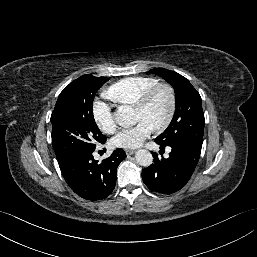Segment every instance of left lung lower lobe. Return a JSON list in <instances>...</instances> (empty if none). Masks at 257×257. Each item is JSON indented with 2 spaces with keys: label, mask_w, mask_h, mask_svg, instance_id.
I'll use <instances>...</instances> for the list:
<instances>
[{
  "label": "left lung lower lobe",
  "mask_w": 257,
  "mask_h": 257,
  "mask_svg": "<svg viewBox=\"0 0 257 257\" xmlns=\"http://www.w3.org/2000/svg\"><path fill=\"white\" fill-rule=\"evenodd\" d=\"M160 149L171 147L169 158H158L152 153L153 164L142 170V179L147 187L162 194H172L186 185L191 178L198 163L201 145L185 142H172L167 145L160 144Z\"/></svg>",
  "instance_id": "left-lung-lower-lobe-1"
}]
</instances>
